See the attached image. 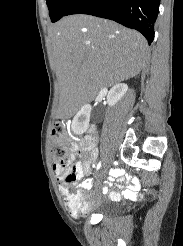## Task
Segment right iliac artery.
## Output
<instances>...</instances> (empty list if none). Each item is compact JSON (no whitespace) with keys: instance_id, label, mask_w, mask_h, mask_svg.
<instances>
[{"instance_id":"right-iliac-artery-1","label":"right iliac artery","mask_w":183,"mask_h":246,"mask_svg":"<svg viewBox=\"0 0 183 246\" xmlns=\"http://www.w3.org/2000/svg\"><path fill=\"white\" fill-rule=\"evenodd\" d=\"M101 167V162H99L98 163V165H97V169H99ZM117 174V172L116 171H114V172H112V175H116Z\"/></svg>"}]
</instances>
